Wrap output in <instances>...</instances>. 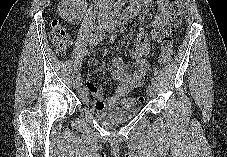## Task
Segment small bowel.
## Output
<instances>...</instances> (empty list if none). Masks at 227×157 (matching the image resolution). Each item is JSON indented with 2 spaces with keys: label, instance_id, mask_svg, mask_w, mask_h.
<instances>
[{
  "label": "small bowel",
  "instance_id": "small-bowel-1",
  "mask_svg": "<svg viewBox=\"0 0 227 157\" xmlns=\"http://www.w3.org/2000/svg\"><path fill=\"white\" fill-rule=\"evenodd\" d=\"M151 2L152 0H138V6L139 8L142 6L149 11ZM157 5L158 13L152 20L150 37L156 42H161L167 38L165 27L169 21L171 3L169 0H158ZM98 42L96 39L94 40V36L90 39V45H95ZM148 42L149 37L147 35H141L138 38L135 49L130 51V56L133 60L132 70H130V67L121 57H115L113 59L114 69L110 71V75L118 85L110 98H105L102 88L97 87L92 82H88L85 87L78 91L83 103L91 109L115 107L130 91L141 86L149 68L148 62L144 59V56L149 53ZM89 64L97 66L100 65V62L92 55L89 59ZM91 96L95 97V99H91Z\"/></svg>",
  "mask_w": 227,
  "mask_h": 157
}]
</instances>
